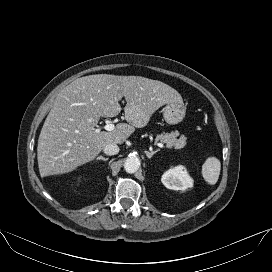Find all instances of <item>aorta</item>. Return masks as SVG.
I'll return each instance as SVG.
<instances>
[{
	"mask_svg": "<svg viewBox=\"0 0 272 272\" xmlns=\"http://www.w3.org/2000/svg\"><path fill=\"white\" fill-rule=\"evenodd\" d=\"M140 159L136 156H129L124 162V169L127 173H135L140 167Z\"/></svg>",
	"mask_w": 272,
	"mask_h": 272,
	"instance_id": "aorta-1",
	"label": "aorta"
}]
</instances>
